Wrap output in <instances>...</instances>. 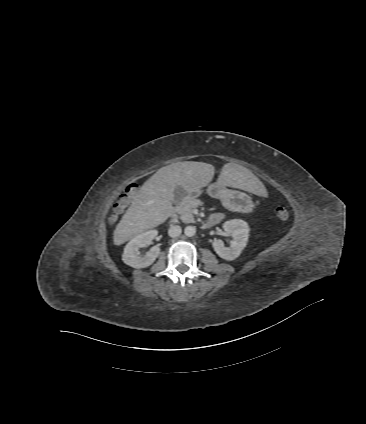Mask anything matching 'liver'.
Instances as JSON below:
<instances>
[{
	"instance_id": "liver-1",
	"label": "liver",
	"mask_w": 366,
	"mask_h": 424,
	"mask_svg": "<svg viewBox=\"0 0 366 424\" xmlns=\"http://www.w3.org/2000/svg\"><path fill=\"white\" fill-rule=\"evenodd\" d=\"M214 172L213 165L194 161L160 168L142 185L122 216L113 234L114 244L121 245L162 224L172 212L176 187L182 186L186 193L200 190L211 182ZM218 181L258 195L265 189L249 169L234 163H226L222 167Z\"/></svg>"
}]
</instances>
